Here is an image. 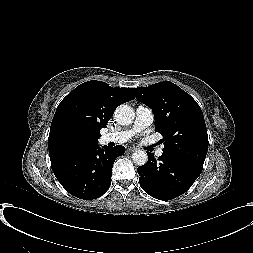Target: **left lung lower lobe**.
Masks as SVG:
<instances>
[{"instance_id": "0a47b994", "label": "left lung lower lobe", "mask_w": 253, "mask_h": 253, "mask_svg": "<svg viewBox=\"0 0 253 253\" xmlns=\"http://www.w3.org/2000/svg\"><path fill=\"white\" fill-rule=\"evenodd\" d=\"M148 161L137 168L143 190L159 200H171L184 194L201 174L203 165L193 160L163 153L157 161L148 153Z\"/></svg>"}]
</instances>
